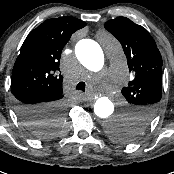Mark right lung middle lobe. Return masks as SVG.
<instances>
[{"mask_svg": "<svg viewBox=\"0 0 174 174\" xmlns=\"http://www.w3.org/2000/svg\"><path fill=\"white\" fill-rule=\"evenodd\" d=\"M41 130H42V131H45V133H47V132L49 133V132L55 131L56 129H54V128H48V127H47V128H44V129L42 128Z\"/></svg>", "mask_w": 174, "mask_h": 174, "instance_id": "dd1d6c3e", "label": "right lung middle lobe"}]
</instances>
